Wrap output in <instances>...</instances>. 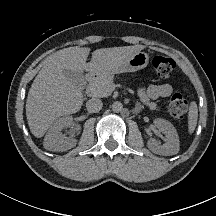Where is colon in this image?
I'll list each match as a JSON object with an SVG mask.
<instances>
[{"instance_id": "1", "label": "colon", "mask_w": 216, "mask_h": 216, "mask_svg": "<svg viewBox=\"0 0 216 216\" xmlns=\"http://www.w3.org/2000/svg\"><path fill=\"white\" fill-rule=\"evenodd\" d=\"M153 67L162 78L169 77L172 73L175 62L173 59L165 56H156L153 59ZM187 101L180 91H175L170 99L168 110L171 116L177 120H183L187 114Z\"/></svg>"}]
</instances>
